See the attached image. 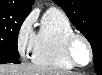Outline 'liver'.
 <instances>
[{
	"instance_id": "liver-1",
	"label": "liver",
	"mask_w": 102,
	"mask_h": 75,
	"mask_svg": "<svg viewBox=\"0 0 102 75\" xmlns=\"http://www.w3.org/2000/svg\"><path fill=\"white\" fill-rule=\"evenodd\" d=\"M0 75H73L67 72L57 71L51 68L36 66L33 64H3L0 66Z\"/></svg>"
}]
</instances>
